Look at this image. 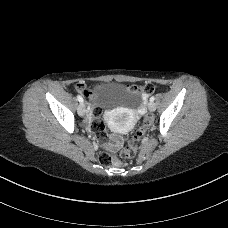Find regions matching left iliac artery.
Instances as JSON below:
<instances>
[{
  "label": "left iliac artery",
  "instance_id": "44dca946",
  "mask_svg": "<svg viewBox=\"0 0 228 228\" xmlns=\"http://www.w3.org/2000/svg\"><path fill=\"white\" fill-rule=\"evenodd\" d=\"M154 100H155V97L152 96V97L150 98V101L153 102Z\"/></svg>",
  "mask_w": 228,
  "mask_h": 228
}]
</instances>
